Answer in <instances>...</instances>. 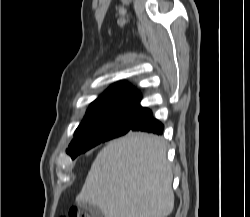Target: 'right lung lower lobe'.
Wrapping results in <instances>:
<instances>
[{
  "label": "right lung lower lobe",
  "instance_id": "98d812e1",
  "mask_svg": "<svg viewBox=\"0 0 250 217\" xmlns=\"http://www.w3.org/2000/svg\"><path fill=\"white\" fill-rule=\"evenodd\" d=\"M163 124L152 116L148 108H140V113L130 131H144L154 134L163 133Z\"/></svg>",
  "mask_w": 250,
  "mask_h": 217
}]
</instances>
